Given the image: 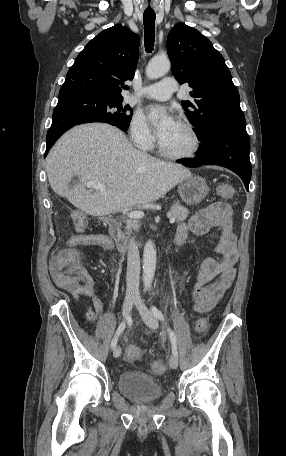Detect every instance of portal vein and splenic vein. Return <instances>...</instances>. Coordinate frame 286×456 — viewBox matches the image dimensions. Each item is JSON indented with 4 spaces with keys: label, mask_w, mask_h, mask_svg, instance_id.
<instances>
[{
    "label": "portal vein and splenic vein",
    "mask_w": 286,
    "mask_h": 456,
    "mask_svg": "<svg viewBox=\"0 0 286 456\" xmlns=\"http://www.w3.org/2000/svg\"><path fill=\"white\" fill-rule=\"evenodd\" d=\"M87 187L88 188H93L95 190H99V191L104 192V193L106 191L105 185L100 183V182H96V181H89L87 183ZM128 217L129 218H134V219H140V218L144 217V212H142V211H131L128 214ZM168 218H169V222L170 223H174L175 222V218H173L171 216V214H168Z\"/></svg>",
    "instance_id": "1"
}]
</instances>
